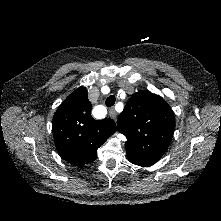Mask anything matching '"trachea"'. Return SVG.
Here are the masks:
<instances>
[{
    "mask_svg": "<svg viewBox=\"0 0 221 221\" xmlns=\"http://www.w3.org/2000/svg\"><path fill=\"white\" fill-rule=\"evenodd\" d=\"M116 102V98L114 95H110L107 99H106V106L107 107H111L115 104Z\"/></svg>",
    "mask_w": 221,
    "mask_h": 221,
    "instance_id": "trachea-1",
    "label": "trachea"
}]
</instances>
